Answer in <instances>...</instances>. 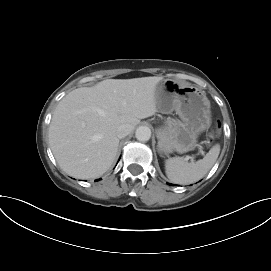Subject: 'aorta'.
Instances as JSON below:
<instances>
[{"label":"aorta","instance_id":"1","mask_svg":"<svg viewBox=\"0 0 271 271\" xmlns=\"http://www.w3.org/2000/svg\"><path fill=\"white\" fill-rule=\"evenodd\" d=\"M135 136L137 140L146 142L151 138V130L147 126H140L136 129Z\"/></svg>","mask_w":271,"mask_h":271}]
</instances>
